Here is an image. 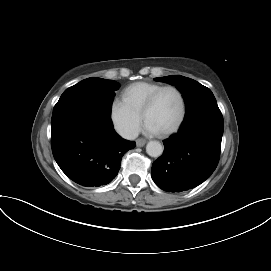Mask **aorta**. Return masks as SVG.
<instances>
[{"instance_id":"1","label":"aorta","mask_w":271,"mask_h":271,"mask_svg":"<svg viewBox=\"0 0 271 271\" xmlns=\"http://www.w3.org/2000/svg\"><path fill=\"white\" fill-rule=\"evenodd\" d=\"M146 152L151 157H159L163 153V147L158 141H149L146 145Z\"/></svg>"}]
</instances>
